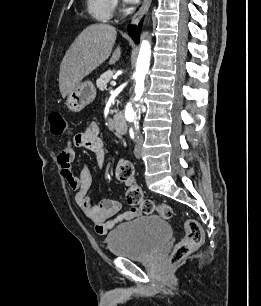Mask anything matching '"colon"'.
<instances>
[{
  "label": "colon",
  "mask_w": 261,
  "mask_h": 306,
  "mask_svg": "<svg viewBox=\"0 0 261 306\" xmlns=\"http://www.w3.org/2000/svg\"><path fill=\"white\" fill-rule=\"evenodd\" d=\"M49 123L51 132L54 135L62 136L67 132V124L63 115L57 111L50 113ZM115 177L127 186L126 198L129 204L136 206L142 213H156L164 219H170L173 216V210L168 204H155L152 200L146 198L142 189L135 182V173L133 164L121 159L115 167ZM185 235L179 241L171 252L169 261L171 264H177L203 242V230L201 225L194 219H188L184 225Z\"/></svg>",
  "instance_id": "obj_1"
}]
</instances>
